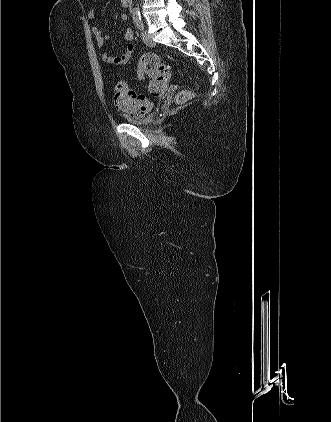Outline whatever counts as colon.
Segmentation results:
<instances>
[{
  "label": "colon",
  "mask_w": 331,
  "mask_h": 422,
  "mask_svg": "<svg viewBox=\"0 0 331 422\" xmlns=\"http://www.w3.org/2000/svg\"><path fill=\"white\" fill-rule=\"evenodd\" d=\"M137 73L143 78H149L148 90L152 95L159 96L164 93L170 80L169 66L163 63L159 57L152 53L144 54L137 65ZM193 97L191 92H182L177 97L178 103H184ZM115 106L122 112L132 116H143L152 108V104L144 95L136 93L129 88L124 80H118L115 84Z\"/></svg>",
  "instance_id": "5ec220e1"
}]
</instances>
